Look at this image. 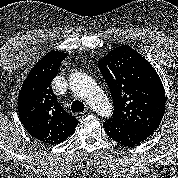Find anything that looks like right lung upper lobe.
Masks as SVG:
<instances>
[{
	"mask_svg": "<svg viewBox=\"0 0 178 178\" xmlns=\"http://www.w3.org/2000/svg\"><path fill=\"white\" fill-rule=\"evenodd\" d=\"M67 53L52 51L40 59L25 79L18 96L19 117L29 135L56 145L75 132L78 121L59 104L51 82Z\"/></svg>",
	"mask_w": 178,
	"mask_h": 178,
	"instance_id": "1",
	"label": "right lung upper lobe"
}]
</instances>
